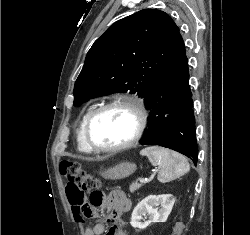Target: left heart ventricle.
<instances>
[{"mask_svg":"<svg viewBox=\"0 0 250 235\" xmlns=\"http://www.w3.org/2000/svg\"><path fill=\"white\" fill-rule=\"evenodd\" d=\"M136 128L134 114L124 107H113L101 113L90 129L91 140L103 147L128 141Z\"/></svg>","mask_w":250,"mask_h":235,"instance_id":"b2bd125f","label":"left heart ventricle"}]
</instances>
